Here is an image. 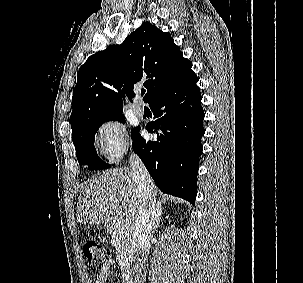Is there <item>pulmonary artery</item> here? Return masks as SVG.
Here are the masks:
<instances>
[{
	"mask_svg": "<svg viewBox=\"0 0 303 283\" xmlns=\"http://www.w3.org/2000/svg\"><path fill=\"white\" fill-rule=\"evenodd\" d=\"M133 112L139 117L144 114V108L139 101L133 105Z\"/></svg>",
	"mask_w": 303,
	"mask_h": 283,
	"instance_id": "pulmonary-artery-1",
	"label": "pulmonary artery"
}]
</instances>
